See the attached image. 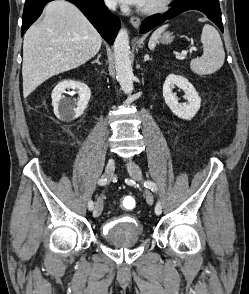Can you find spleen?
I'll return each mask as SVG.
<instances>
[{"label":"spleen","mask_w":249,"mask_h":294,"mask_svg":"<svg viewBox=\"0 0 249 294\" xmlns=\"http://www.w3.org/2000/svg\"><path fill=\"white\" fill-rule=\"evenodd\" d=\"M168 26V24L162 25L154 31L148 44L151 50L155 48L157 39ZM201 43L203 45V55L191 60V70L198 75L215 73L222 67L225 60V51L218 31L209 24L204 25Z\"/></svg>","instance_id":"1"}]
</instances>
